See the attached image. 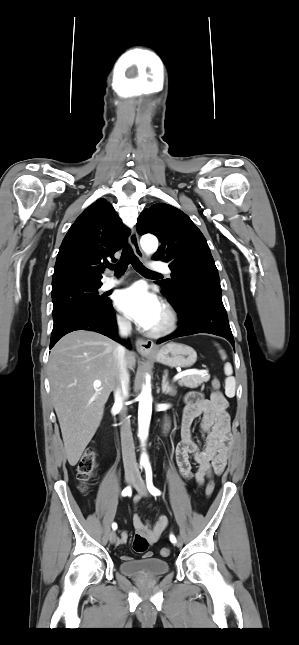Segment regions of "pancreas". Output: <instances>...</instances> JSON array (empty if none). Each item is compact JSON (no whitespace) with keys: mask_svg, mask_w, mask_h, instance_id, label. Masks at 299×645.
I'll use <instances>...</instances> for the list:
<instances>
[{"mask_svg":"<svg viewBox=\"0 0 299 645\" xmlns=\"http://www.w3.org/2000/svg\"><path fill=\"white\" fill-rule=\"evenodd\" d=\"M201 372V374H193L182 377L178 381V384L180 386H185L188 388H197L202 383L208 382L210 380V375L206 371Z\"/></svg>","mask_w":299,"mask_h":645,"instance_id":"cf45deb5","label":"pancreas"}]
</instances>
